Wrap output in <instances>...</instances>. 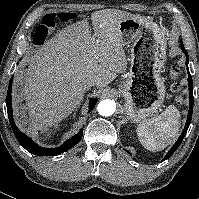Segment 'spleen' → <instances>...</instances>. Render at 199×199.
I'll return each instance as SVG.
<instances>
[{
	"label": "spleen",
	"mask_w": 199,
	"mask_h": 199,
	"mask_svg": "<svg viewBox=\"0 0 199 199\" xmlns=\"http://www.w3.org/2000/svg\"><path fill=\"white\" fill-rule=\"evenodd\" d=\"M180 113L170 105L160 115L137 126L141 144L150 151H161L172 144L179 132Z\"/></svg>",
	"instance_id": "3e777b00"
}]
</instances>
